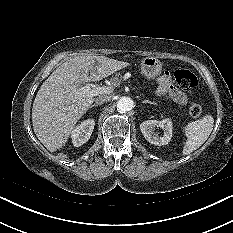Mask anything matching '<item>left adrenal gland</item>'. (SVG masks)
<instances>
[{
  "mask_svg": "<svg viewBox=\"0 0 233 233\" xmlns=\"http://www.w3.org/2000/svg\"><path fill=\"white\" fill-rule=\"evenodd\" d=\"M142 103H149V104H154V105H157V103H155L154 101H150V100H144L142 101Z\"/></svg>",
  "mask_w": 233,
  "mask_h": 233,
  "instance_id": "1",
  "label": "left adrenal gland"
}]
</instances>
